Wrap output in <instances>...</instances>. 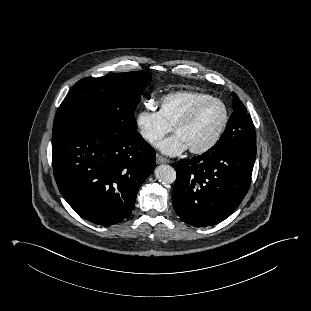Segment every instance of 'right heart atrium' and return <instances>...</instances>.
<instances>
[{"label": "right heart atrium", "instance_id": "d8ad5b80", "mask_svg": "<svg viewBox=\"0 0 311 311\" xmlns=\"http://www.w3.org/2000/svg\"><path fill=\"white\" fill-rule=\"evenodd\" d=\"M135 124L139 135L149 145H155L172 130L152 102H147L137 113Z\"/></svg>", "mask_w": 311, "mask_h": 311}]
</instances>
